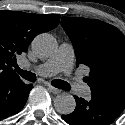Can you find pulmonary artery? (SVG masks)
Here are the masks:
<instances>
[{
  "label": "pulmonary artery",
  "instance_id": "pulmonary-artery-1",
  "mask_svg": "<svg viewBox=\"0 0 125 125\" xmlns=\"http://www.w3.org/2000/svg\"><path fill=\"white\" fill-rule=\"evenodd\" d=\"M74 58L73 46L69 43H62L53 56L43 63L34 66L33 69L44 77L55 75L58 72H65L70 78L71 86L75 89L78 96L85 97L89 94V88L71 75Z\"/></svg>",
  "mask_w": 125,
  "mask_h": 125
}]
</instances>
